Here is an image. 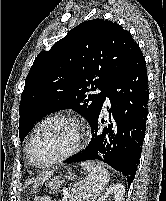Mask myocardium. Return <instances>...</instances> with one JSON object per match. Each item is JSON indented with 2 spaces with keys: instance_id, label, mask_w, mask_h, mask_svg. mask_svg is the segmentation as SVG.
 <instances>
[{
  "instance_id": "1",
  "label": "myocardium",
  "mask_w": 166,
  "mask_h": 201,
  "mask_svg": "<svg viewBox=\"0 0 166 201\" xmlns=\"http://www.w3.org/2000/svg\"><path fill=\"white\" fill-rule=\"evenodd\" d=\"M54 121H63V122L71 123V124H73L76 127L77 132H78V137H77L76 144L68 152H66V153H64V154H62V155H60L58 157L53 158V159L49 160L48 162H46L44 164H41V165L35 164L34 161H33V159H32V153H31L32 152V145H33L34 139H35L38 131L44 125H46V124H48L50 122H54ZM85 138H86V128L77 119L69 117V116H66V115H55V116L48 117V118L42 120L34 128L32 134L30 136V139L28 141V146H27L28 160H29V162H30L31 165H33L35 167H39V168H44V167H48V166L60 163V162H62L64 160H67L68 158L74 156L75 154H77L81 150V148L83 146V143L85 141Z\"/></svg>"
}]
</instances>
